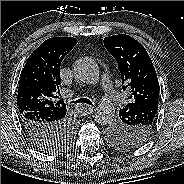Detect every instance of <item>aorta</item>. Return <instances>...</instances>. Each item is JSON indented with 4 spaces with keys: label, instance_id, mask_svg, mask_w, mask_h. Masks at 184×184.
<instances>
[{
    "label": "aorta",
    "instance_id": "762f6f07",
    "mask_svg": "<svg viewBox=\"0 0 184 184\" xmlns=\"http://www.w3.org/2000/svg\"><path fill=\"white\" fill-rule=\"evenodd\" d=\"M75 77L86 84H96L100 78L99 67L97 63L89 58L84 57L78 59L74 66ZM115 117V107L109 101H101L95 110V119L101 125L111 123Z\"/></svg>",
    "mask_w": 184,
    "mask_h": 184
}]
</instances>
